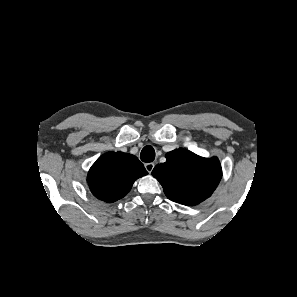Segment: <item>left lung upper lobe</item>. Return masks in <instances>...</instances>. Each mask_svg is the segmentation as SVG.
<instances>
[{"mask_svg": "<svg viewBox=\"0 0 297 297\" xmlns=\"http://www.w3.org/2000/svg\"><path fill=\"white\" fill-rule=\"evenodd\" d=\"M166 162L154 167L152 175L165 195L183 205H196L211 196L222 177L218 158L205 159L185 149L166 154Z\"/></svg>", "mask_w": 297, "mask_h": 297, "instance_id": "obj_1", "label": "left lung upper lobe"}]
</instances>
